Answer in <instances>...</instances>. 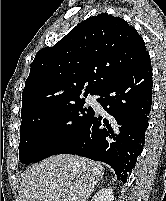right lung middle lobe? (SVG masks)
Instances as JSON below:
<instances>
[{
  "mask_svg": "<svg viewBox=\"0 0 166 201\" xmlns=\"http://www.w3.org/2000/svg\"><path fill=\"white\" fill-rule=\"evenodd\" d=\"M85 99H76L54 108L21 115L19 160L24 164L39 162L73 137L94 115L84 107ZM56 126V130L51 127Z\"/></svg>",
  "mask_w": 166,
  "mask_h": 201,
  "instance_id": "right-lung-middle-lobe-1",
  "label": "right lung middle lobe"
}]
</instances>
